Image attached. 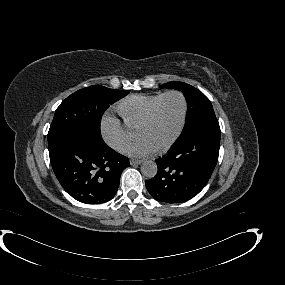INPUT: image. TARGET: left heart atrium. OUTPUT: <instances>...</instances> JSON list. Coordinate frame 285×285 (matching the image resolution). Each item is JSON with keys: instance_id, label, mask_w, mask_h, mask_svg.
Masks as SVG:
<instances>
[{"instance_id": "39dd6f15", "label": "left heart atrium", "mask_w": 285, "mask_h": 285, "mask_svg": "<svg viewBox=\"0 0 285 285\" xmlns=\"http://www.w3.org/2000/svg\"><path fill=\"white\" fill-rule=\"evenodd\" d=\"M155 148L147 139L139 137L127 146L124 152L135 158H143L153 153Z\"/></svg>"}]
</instances>
